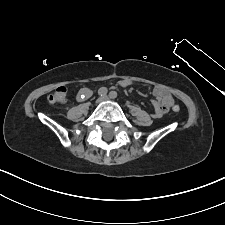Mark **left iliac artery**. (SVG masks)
<instances>
[{"label":"left iliac artery","mask_w":225,"mask_h":225,"mask_svg":"<svg viewBox=\"0 0 225 225\" xmlns=\"http://www.w3.org/2000/svg\"><path fill=\"white\" fill-rule=\"evenodd\" d=\"M109 96H110V98L115 99V98H117V92L111 91Z\"/></svg>","instance_id":"obj_1"}]
</instances>
